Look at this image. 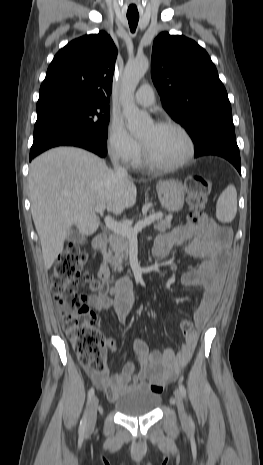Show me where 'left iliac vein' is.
Segmentation results:
<instances>
[{
    "label": "left iliac vein",
    "instance_id": "left-iliac-vein-1",
    "mask_svg": "<svg viewBox=\"0 0 263 465\" xmlns=\"http://www.w3.org/2000/svg\"><path fill=\"white\" fill-rule=\"evenodd\" d=\"M174 395H175V401H176V406H177L179 417L183 423H186L187 415H186V411H185V407L183 403L182 394L179 390H175Z\"/></svg>",
    "mask_w": 263,
    "mask_h": 465
}]
</instances>
